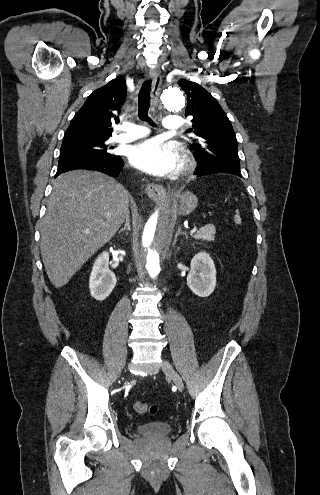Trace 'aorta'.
<instances>
[{"label":"aorta","mask_w":320,"mask_h":495,"mask_svg":"<svg viewBox=\"0 0 320 495\" xmlns=\"http://www.w3.org/2000/svg\"><path fill=\"white\" fill-rule=\"evenodd\" d=\"M161 101L170 111H178L184 105L183 95L178 89L163 91ZM172 224L171 210L165 205L150 216L142 230L141 252L151 278H156L161 271L160 247L170 241Z\"/></svg>","instance_id":"762f6f07"}]
</instances>
